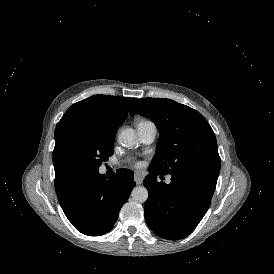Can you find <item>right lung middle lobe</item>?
Masks as SVG:
<instances>
[{"label":"right lung middle lobe","mask_w":274,"mask_h":274,"mask_svg":"<svg viewBox=\"0 0 274 274\" xmlns=\"http://www.w3.org/2000/svg\"><path fill=\"white\" fill-rule=\"evenodd\" d=\"M120 121H91L69 131L58 148L57 158L71 176L98 171L114 153V141Z\"/></svg>","instance_id":"dd1d6c3e"}]
</instances>
